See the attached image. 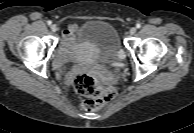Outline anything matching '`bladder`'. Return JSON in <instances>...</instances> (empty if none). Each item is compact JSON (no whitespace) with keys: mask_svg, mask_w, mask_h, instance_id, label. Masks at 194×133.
Here are the masks:
<instances>
[{"mask_svg":"<svg viewBox=\"0 0 194 133\" xmlns=\"http://www.w3.org/2000/svg\"><path fill=\"white\" fill-rule=\"evenodd\" d=\"M74 54H90L102 63L113 64L123 58V50L116 29L104 20H89L83 23L69 41Z\"/></svg>","mask_w":194,"mask_h":133,"instance_id":"31cf9c89","label":"bladder"}]
</instances>
